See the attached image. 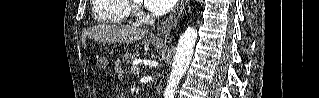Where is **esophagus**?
Returning <instances> with one entry per match:
<instances>
[{
    "label": "esophagus",
    "instance_id": "34e87169",
    "mask_svg": "<svg viewBox=\"0 0 319 98\" xmlns=\"http://www.w3.org/2000/svg\"><path fill=\"white\" fill-rule=\"evenodd\" d=\"M188 0H179L172 13L158 26L157 35L167 43L172 42V30L178 25L186 11Z\"/></svg>",
    "mask_w": 319,
    "mask_h": 98
}]
</instances>
